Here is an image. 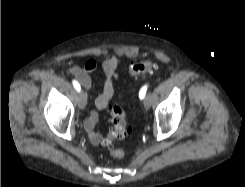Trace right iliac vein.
Wrapping results in <instances>:
<instances>
[{
  "label": "right iliac vein",
  "mask_w": 245,
  "mask_h": 187,
  "mask_svg": "<svg viewBox=\"0 0 245 187\" xmlns=\"http://www.w3.org/2000/svg\"><path fill=\"white\" fill-rule=\"evenodd\" d=\"M77 101H78V107L80 109H84L87 103V98H86V94L83 91L79 94Z\"/></svg>",
  "instance_id": "obj_1"
}]
</instances>
